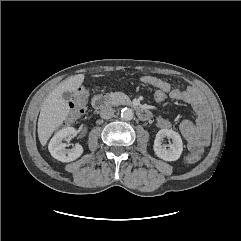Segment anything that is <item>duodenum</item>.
<instances>
[{"label": "duodenum", "instance_id": "410a0bca", "mask_svg": "<svg viewBox=\"0 0 241 241\" xmlns=\"http://www.w3.org/2000/svg\"><path fill=\"white\" fill-rule=\"evenodd\" d=\"M110 102H111V97L107 94H99L93 98V106L97 110L104 109L110 104ZM133 107L135 108L136 113L141 120L147 121L150 119L151 115L148 110L137 105H133Z\"/></svg>", "mask_w": 241, "mask_h": 241}]
</instances>
